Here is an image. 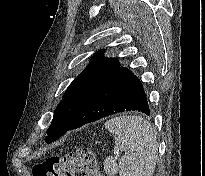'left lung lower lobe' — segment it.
<instances>
[{
	"label": "left lung lower lobe",
	"instance_id": "0a47b994",
	"mask_svg": "<svg viewBox=\"0 0 205 176\" xmlns=\"http://www.w3.org/2000/svg\"><path fill=\"white\" fill-rule=\"evenodd\" d=\"M131 110L150 115L141 81L127 68L120 67L81 103L67 131L115 113Z\"/></svg>",
	"mask_w": 205,
	"mask_h": 176
}]
</instances>
